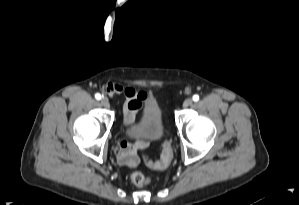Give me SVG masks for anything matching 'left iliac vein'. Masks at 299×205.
<instances>
[{"mask_svg": "<svg viewBox=\"0 0 299 205\" xmlns=\"http://www.w3.org/2000/svg\"><path fill=\"white\" fill-rule=\"evenodd\" d=\"M193 100L191 98H187L184 102H183V107H188L190 105H192Z\"/></svg>", "mask_w": 299, "mask_h": 205, "instance_id": "1", "label": "left iliac vein"}]
</instances>
